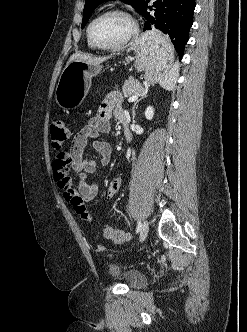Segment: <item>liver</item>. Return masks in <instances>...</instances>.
<instances>
[{"instance_id":"liver-1","label":"liver","mask_w":247,"mask_h":332,"mask_svg":"<svg viewBox=\"0 0 247 332\" xmlns=\"http://www.w3.org/2000/svg\"><path fill=\"white\" fill-rule=\"evenodd\" d=\"M107 59L108 57H95L85 53H75L69 58L67 64H69L73 60H79L89 64H100Z\"/></svg>"}]
</instances>
